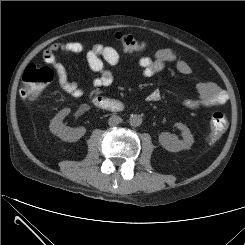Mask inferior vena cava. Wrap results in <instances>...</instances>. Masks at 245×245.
I'll list each match as a JSON object with an SVG mask.
<instances>
[{"label":"inferior vena cava","mask_w":245,"mask_h":245,"mask_svg":"<svg viewBox=\"0 0 245 245\" xmlns=\"http://www.w3.org/2000/svg\"><path fill=\"white\" fill-rule=\"evenodd\" d=\"M121 122H122V118L118 115H112L108 119V125L109 126H116Z\"/></svg>","instance_id":"1"}]
</instances>
